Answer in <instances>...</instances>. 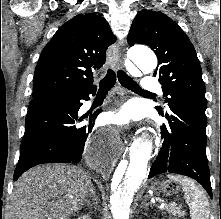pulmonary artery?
<instances>
[{"label":"pulmonary artery","instance_id":"obj_1","mask_svg":"<svg viewBox=\"0 0 221 219\" xmlns=\"http://www.w3.org/2000/svg\"><path fill=\"white\" fill-rule=\"evenodd\" d=\"M143 90L149 95L161 94L162 85L157 78L145 76L143 79Z\"/></svg>","mask_w":221,"mask_h":219}]
</instances>
